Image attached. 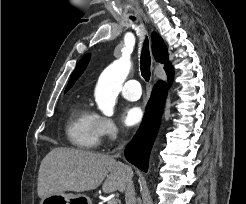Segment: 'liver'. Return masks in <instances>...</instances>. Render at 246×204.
<instances>
[{
	"label": "liver",
	"instance_id": "6515ba94",
	"mask_svg": "<svg viewBox=\"0 0 246 204\" xmlns=\"http://www.w3.org/2000/svg\"><path fill=\"white\" fill-rule=\"evenodd\" d=\"M132 176L127 165L109 155L57 147L41 162L37 191L43 199L65 191L94 190L103 183L105 193L123 192Z\"/></svg>",
	"mask_w": 246,
	"mask_h": 204
}]
</instances>
